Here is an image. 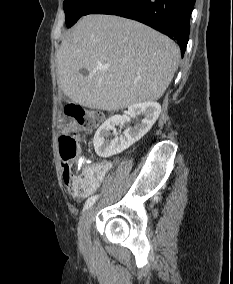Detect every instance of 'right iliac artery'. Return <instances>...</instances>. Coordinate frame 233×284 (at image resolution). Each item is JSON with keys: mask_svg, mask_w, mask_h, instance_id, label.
<instances>
[{"mask_svg": "<svg viewBox=\"0 0 233 284\" xmlns=\"http://www.w3.org/2000/svg\"><path fill=\"white\" fill-rule=\"evenodd\" d=\"M97 199H98V195H94V196H91L90 198H88V200L86 201V203L84 205V209L90 208L95 203V201Z\"/></svg>", "mask_w": 233, "mask_h": 284, "instance_id": "82829eb1", "label": "right iliac artery"}]
</instances>
